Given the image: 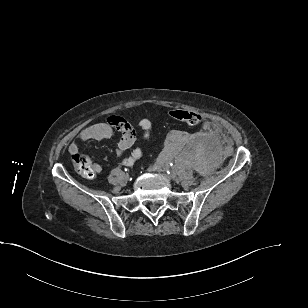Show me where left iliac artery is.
Instances as JSON below:
<instances>
[{"instance_id":"obj_1","label":"left iliac artery","mask_w":308,"mask_h":308,"mask_svg":"<svg viewBox=\"0 0 308 308\" xmlns=\"http://www.w3.org/2000/svg\"><path fill=\"white\" fill-rule=\"evenodd\" d=\"M170 166H171V168H174V164H173V163H170ZM166 172H167L168 174L171 173V172L169 171V167H168V169H166Z\"/></svg>"}]
</instances>
